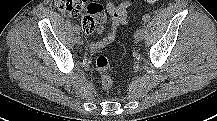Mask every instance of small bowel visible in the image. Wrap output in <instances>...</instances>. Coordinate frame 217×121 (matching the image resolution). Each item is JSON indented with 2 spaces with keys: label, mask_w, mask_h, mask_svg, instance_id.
<instances>
[{
  "label": "small bowel",
  "mask_w": 217,
  "mask_h": 121,
  "mask_svg": "<svg viewBox=\"0 0 217 121\" xmlns=\"http://www.w3.org/2000/svg\"><path fill=\"white\" fill-rule=\"evenodd\" d=\"M134 4L135 0H125L120 4L113 2L106 3V9L111 18L110 26L105 37L90 43L92 51L97 52L115 40L119 26L129 22L130 9Z\"/></svg>",
  "instance_id": "c3829d8e"
}]
</instances>
